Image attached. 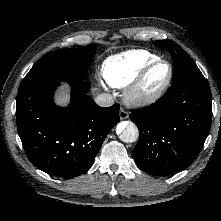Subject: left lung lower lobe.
Returning <instances> with one entry per match:
<instances>
[{
  "label": "left lung lower lobe",
  "mask_w": 221,
  "mask_h": 221,
  "mask_svg": "<svg viewBox=\"0 0 221 221\" xmlns=\"http://www.w3.org/2000/svg\"><path fill=\"white\" fill-rule=\"evenodd\" d=\"M139 141L138 167L155 176L175 174L200 153L210 131L212 100L208 82L187 80L172 85L155 103L132 111Z\"/></svg>",
  "instance_id": "1"
}]
</instances>
